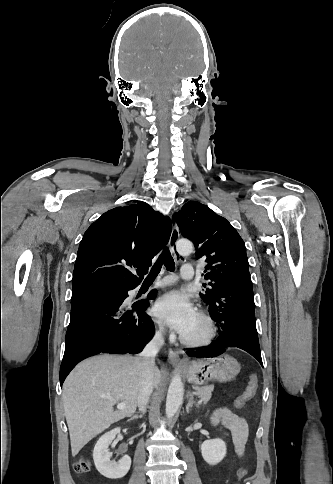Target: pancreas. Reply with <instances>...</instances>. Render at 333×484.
Wrapping results in <instances>:
<instances>
[{"mask_svg": "<svg viewBox=\"0 0 333 484\" xmlns=\"http://www.w3.org/2000/svg\"><path fill=\"white\" fill-rule=\"evenodd\" d=\"M194 395L197 396L200 400L204 403L208 402L212 396V392L214 390V385H205L203 387L195 386Z\"/></svg>", "mask_w": 333, "mask_h": 484, "instance_id": "pancreas-1", "label": "pancreas"}]
</instances>
